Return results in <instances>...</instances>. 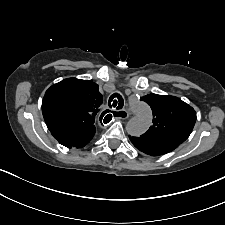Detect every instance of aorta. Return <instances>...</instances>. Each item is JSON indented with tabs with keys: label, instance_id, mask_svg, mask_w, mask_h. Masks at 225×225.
Here are the masks:
<instances>
[{
	"label": "aorta",
	"instance_id": "aorta-1",
	"mask_svg": "<svg viewBox=\"0 0 225 225\" xmlns=\"http://www.w3.org/2000/svg\"><path fill=\"white\" fill-rule=\"evenodd\" d=\"M129 106L135 116L128 121L126 131L131 136H140L144 134L151 125V109L146 103L139 100L130 102Z\"/></svg>",
	"mask_w": 225,
	"mask_h": 225
}]
</instances>
